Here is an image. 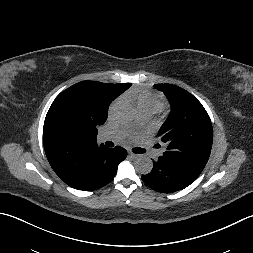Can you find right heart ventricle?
Masks as SVG:
<instances>
[{"mask_svg":"<svg viewBox=\"0 0 253 253\" xmlns=\"http://www.w3.org/2000/svg\"><path fill=\"white\" fill-rule=\"evenodd\" d=\"M126 98L133 100L140 112L149 111L156 113L163 107L162 99L146 90H133L126 95Z\"/></svg>","mask_w":253,"mask_h":253,"instance_id":"e07e8e85","label":"right heart ventricle"}]
</instances>
